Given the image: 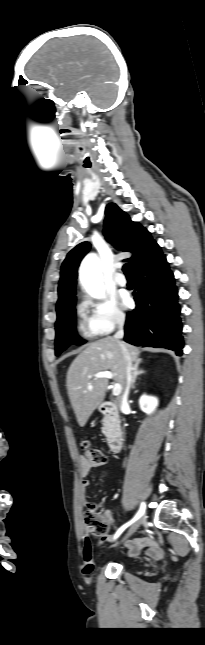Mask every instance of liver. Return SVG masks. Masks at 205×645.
<instances>
[{
  "label": "liver",
  "mask_w": 205,
  "mask_h": 645,
  "mask_svg": "<svg viewBox=\"0 0 205 645\" xmlns=\"http://www.w3.org/2000/svg\"><path fill=\"white\" fill-rule=\"evenodd\" d=\"M124 346L131 361H141L140 349L106 337L89 343L74 359L67 372L66 386L68 396L80 427H84L93 411L104 400L108 378H95L100 371H110L116 384L122 389L126 386V361ZM92 388L89 389L88 386Z\"/></svg>",
  "instance_id": "liver-1"
}]
</instances>
